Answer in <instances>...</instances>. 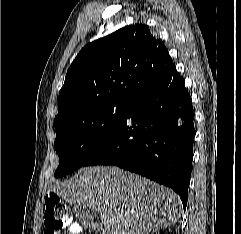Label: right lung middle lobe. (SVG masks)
I'll return each instance as SVG.
<instances>
[{
	"mask_svg": "<svg viewBox=\"0 0 241 234\" xmlns=\"http://www.w3.org/2000/svg\"><path fill=\"white\" fill-rule=\"evenodd\" d=\"M128 104H105L83 112L75 122L56 131L55 149L59 166L55 177L84 166L121 124Z\"/></svg>",
	"mask_w": 241,
	"mask_h": 234,
	"instance_id": "dd1d6c3e",
	"label": "right lung middle lobe"
}]
</instances>
